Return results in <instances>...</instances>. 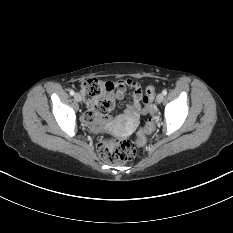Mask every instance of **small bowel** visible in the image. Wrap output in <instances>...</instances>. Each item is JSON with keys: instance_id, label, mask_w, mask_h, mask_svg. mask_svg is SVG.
<instances>
[{"instance_id": "small-bowel-1", "label": "small bowel", "mask_w": 233, "mask_h": 233, "mask_svg": "<svg viewBox=\"0 0 233 233\" xmlns=\"http://www.w3.org/2000/svg\"><path fill=\"white\" fill-rule=\"evenodd\" d=\"M127 89L132 91L131 102L126 105L125 115L131 120L135 121L140 114L146 112V106L144 103L143 87L140 82L127 79L120 80L114 83L113 99L122 100L125 96ZM100 101L87 100V111L85 114V120L92 126V128L98 130L106 124L107 118L104 117L98 111Z\"/></svg>"}]
</instances>
